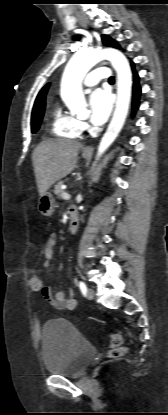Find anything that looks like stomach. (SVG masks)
Listing matches in <instances>:
<instances>
[{"label": "stomach", "instance_id": "stomach-1", "mask_svg": "<svg viewBox=\"0 0 168 415\" xmlns=\"http://www.w3.org/2000/svg\"><path fill=\"white\" fill-rule=\"evenodd\" d=\"M82 156L88 159L91 156L90 152L83 151ZM55 200L50 193H45L40 197L38 202V210L43 216H51L54 212Z\"/></svg>", "mask_w": 168, "mask_h": 415}]
</instances>
